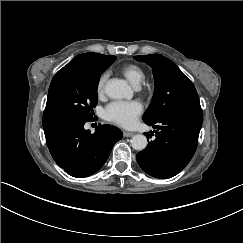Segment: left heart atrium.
I'll return each mask as SVG.
<instances>
[{
	"mask_svg": "<svg viewBox=\"0 0 243 243\" xmlns=\"http://www.w3.org/2000/svg\"><path fill=\"white\" fill-rule=\"evenodd\" d=\"M143 105L138 100L113 101L103 110V117L107 121L120 125H130L142 113Z\"/></svg>",
	"mask_w": 243,
	"mask_h": 243,
	"instance_id": "left-heart-atrium-1",
	"label": "left heart atrium"
}]
</instances>
